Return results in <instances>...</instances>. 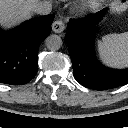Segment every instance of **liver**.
I'll return each instance as SVG.
<instances>
[{
  "label": "liver",
  "instance_id": "obj_1",
  "mask_svg": "<svg viewBox=\"0 0 128 128\" xmlns=\"http://www.w3.org/2000/svg\"><path fill=\"white\" fill-rule=\"evenodd\" d=\"M38 0H0V24L4 28L31 17Z\"/></svg>",
  "mask_w": 128,
  "mask_h": 128
}]
</instances>
